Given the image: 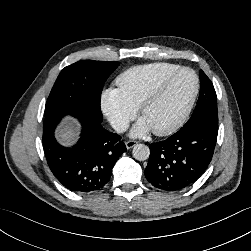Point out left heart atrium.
Instances as JSON below:
<instances>
[{"mask_svg": "<svg viewBox=\"0 0 251 251\" xmlns=\"http://www.w3.org/2000/svg\"><path fill=\"white\" fill-rule=\"evenodd\" d=\"M151 130L147 122L141 118L137 124L133 127L131 134L133 136H143Z\"/></svg>", "mask_w": 251, "mask_h": 251, "instance_id": "39dd6f15", "label": "left heart atrium"}]
</instances>
